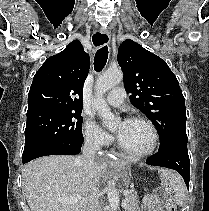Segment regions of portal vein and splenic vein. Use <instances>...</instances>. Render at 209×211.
<instances>
[{
  "label": "portal vein and splenic vein",
  "mask_w": 209,
  "mask_h": 211,
  "mask_svg": "<svg viewBox=\"0 0 209 211\" xmlns=\"http://www.w3.org/2000/svg\"><path fill=\"white\" fill-rule=\"evenodd\" d=\"M129 191H124V195H127ZM80 198L79 195H74L71 196L70 198L67 199H59L60 202L65 203V204H74L75 202H77V200Z\"/></svg>",
  "instance_id": "18ae733b"
}]
</instances>
